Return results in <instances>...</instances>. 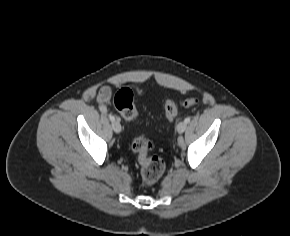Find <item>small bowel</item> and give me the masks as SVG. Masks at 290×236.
Segmentation results:
<instances>
[{
    "label": "small bowel",
    "instance_id": "1",
    "mask_svg": "<svg viewBox=\"0 0 290 236\" xmlns=\"http://www.w3.org/2000/svg\"><path fill=\"white\" fill-rule=\"evenodd\" d=\"M111 88L109 86H102L98 92L97 101L102 108H105L111 98Z\"/></svg>",
    "mask_w": 290,
    "mask_h": 236
}]
</instances>
